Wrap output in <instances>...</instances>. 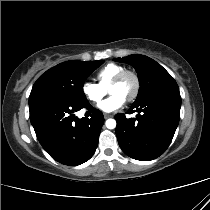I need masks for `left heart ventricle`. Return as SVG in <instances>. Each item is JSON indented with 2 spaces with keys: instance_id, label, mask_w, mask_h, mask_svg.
Here are the masks:
<instances>
[{
  "instance_id": "left-heart-ventricle-1",
  "label": "left heart ventricle",
  "mask_w": 210,
  "mask_h": 210,
  "mask_svg": "<svg viewBox=\"0 0 210 210\" xmlns=\"http://www.w3.org/2000/svg\"><path fill=\"white\" fill-rule=\"evenodd\" d=\"M135 87L134 80L131 77H127L121 84L109 88L110 95L118 94L125 100L131 95Z\"/></svg>"
}]
</instances>
